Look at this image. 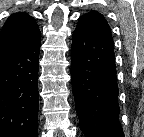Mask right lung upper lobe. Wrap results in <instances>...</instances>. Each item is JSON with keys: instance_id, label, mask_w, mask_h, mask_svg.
<instances>
[{"instance_id": "1", "label": "right lung upper lobe", "mask_w": 144, "mask_h": 137, "mask_svg": "<svg viewBox=\"0 0 144 137\" xmlns=\"http://www.w3.org/2000/svg\"><path fill=\"white\" fill-rule=\"evenodd\" d=\"M39 33L34 18L27 13L11 15L0 31V54L24 45Z\"/></svg>"}]
</instances>
